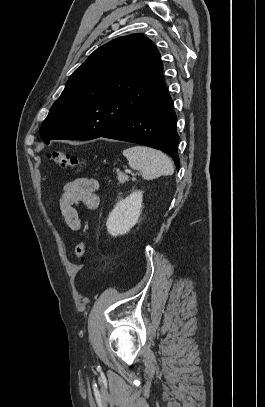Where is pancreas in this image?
Wrapping results in <instances>:
<instances>
[{
    "label": "pancreas",
    "mask_w": 265,
    "mask_h": 407,
    "mask_svg": "<svg viewBox=\"0 0 265 407\" xmlns=\"http://www.w3.org/2000/svg\"><path fill=\"white\" fill-rule=\"evenodd\" d=\"M117 179L119 181V184H124L126 181H129V176L122 172H119L117 173ZM132 180L135 181L136 179L133 178Z\"/></svg>",
    "instance_id": "pancreas-1"
}]
</instances>
